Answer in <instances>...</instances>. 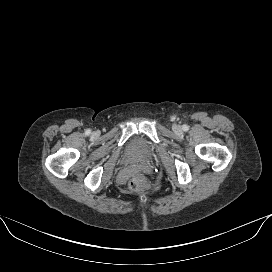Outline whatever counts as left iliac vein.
Instances as JSON below:
<instances>
[{
	"label": "left iliac vein",
	"instance_id": "1",
	"mask_svg": "<svg viewBox=\"0 0 272 272\" xmlns=\"http://www.w3.org/2000/svg\"><path fill=\"white\" fill-rule=\"evenodd\" d=\"M173 130H174L175 132H177V133H180V132H181V126H179V125H174V126H173Z\"/></svg>",
	"mask_w": 272,
	"mask_h": 272
}]
</instances>
